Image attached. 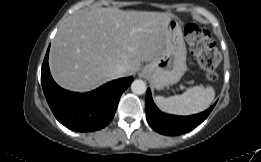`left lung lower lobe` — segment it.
Segmentation results:
<instances>
[{"label": "left lung lower lobe", "instance_id": "1", "mask_svg": "<svg viewBox=\"0 0 261 162\" xmlns=\"http://www.w3.org/2000/svg\"><path fill=\"white\" fill-rule=\"evenodd\" d=\"M215 104L209 109L192 116H175L161 112L153 102L150 89L147 90L145 110L149 125L163 135H180L201 124L213 110Z\"/></svg>", "mask_w": 261, "mask_h": 162}]
</instances>
